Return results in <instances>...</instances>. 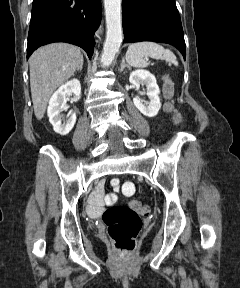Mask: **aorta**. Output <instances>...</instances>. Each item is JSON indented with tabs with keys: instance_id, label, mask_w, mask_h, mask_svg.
I'll return each instance as SVG.
<instances>
[{
	"instance_id": "1",
	"label": "aorta",
	"mask_w": 240,
	"mask_h": 288,
	"mask_svg": "<svg viewBox=\"0 0 240 288\" xmlns=\"http://www.w3.org/2000/svg\"><path fill=\"white\" fill-rule=\"evenodd\" d=\"M121 1L104 0L107 32L101 55L103 66H109L112 63L122 43Z\"/></svg>"
}]
</instances>
